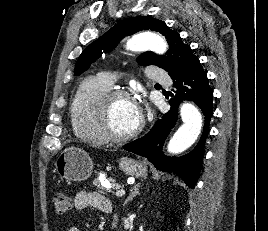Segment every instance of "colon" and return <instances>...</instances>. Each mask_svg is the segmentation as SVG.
I'll return each mask as SVG.
<instances>
[{"label": "colon", "mask_w": 268, "mask_h": 231, "mask_svg": "<svg viewBox=\"0 0 268 231\" xmlns=\"http://www.w3.org/2000/svg\"><path fill=\"white\" fill-rule=\"evenodd\" d=\"M53 205H54V210L57 214H64L70 209V199L69 197L62 193V192H57L53 196Z\"/></svg>", "instance_id": "colon-1"}]
</instances>
